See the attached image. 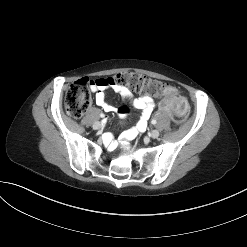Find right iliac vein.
Masks as SVG:
<instances>
[{"label":"right iliac vein","mask_w":247,"mask_h":247,"mask_svg":"<svg viewBox=\"0 0 247 247\" xmlns=\"http://www.w3.org/2000/svg\"><path fill=\"white\" fill-rule=\"evenodd\" d=\"M100 128H101V123H100V122H95V123L93 124V129L99 130Z\"/></svg>","instance_id":"obj_1"}]
</instances>
